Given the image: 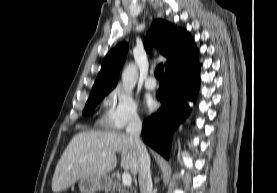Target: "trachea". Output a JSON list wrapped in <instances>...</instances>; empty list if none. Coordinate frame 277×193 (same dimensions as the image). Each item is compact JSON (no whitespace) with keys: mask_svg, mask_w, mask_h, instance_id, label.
I'll return each instance as SVG.
<instances>
[{"mask_svg":"<svg viewBox=\"0 0 277 193\" xmlns=\"http://www.w3.org/2000/svg\"><path fill=\"white\" fill-rule=\"evenodd\" d=\"M163 73H164V66H163V64H160L155 69V77L157 79H162L163 78Z\"/></svg>","mask_w":277,"mask_h":193,"instance_id":"1","label":"trachea"}]
</instances>
